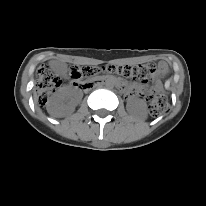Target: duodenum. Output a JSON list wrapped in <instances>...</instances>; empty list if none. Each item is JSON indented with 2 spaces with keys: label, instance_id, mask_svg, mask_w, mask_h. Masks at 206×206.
I'll return each mask as SVG.
<instances>
[{
  "label": "duodenum",
  "instance_id": "410a0bca",
  "mask_svg": "<svg viewBox=\"0 0 206 206\" xmlns=\"http://www.w3.org/2000/svg\"><path fill=\"white\" fill-rule=\"evenodd\" d=\"M102 82L111 83L112 79L111 78H107V77L99 78V79H96L94 81H90V82L85 83L83 85V88L84 89H92L94 87V85H96L98 83H102ZM113 83L115 85H118V87L120 89H123L125 87V84L123 82H121L120 80L114 79Z\"/></svg>",
  "mask_w": 206,
  "mask_h": 206
}]
</instances>
